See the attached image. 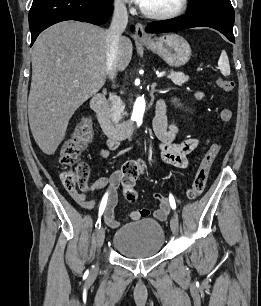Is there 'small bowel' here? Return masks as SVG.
<instances>
[{"mask_svg": "<svg viewBox=\"0 0 261 306\" xmlns=\"http://www.w3.org/2000/svg\"><path fill=\"white\" fill-rule=\"evenodd\" d=\"M196 96L200 99L204 98V94L197 92ZM154 133L159 141V156L165 163L171 164L177 168L185 169L189 165L188 157L193 154L200 144L199 138H188L180 143L175 142L178 132V126L175 121H170L166 115V108L162 101L157 105L156 115L153 121ZM119 139L109 138L108 149H102L100 155L103 158L109 156L111 150L118 148ZM119 183V172L114 173L110 177H100L94 180L90 185H86L81 192L70 189L71 198L82 208L92 210L95 201L88 195L92 192L106 188L107 202L103 210L104 222L111 228H117L120 221L115 217V207L117 205L116 188ZM155 199L159 202V207L154 210L153 216L158 221H164L169 215L170 207L168 199L161 193L155 194ZM149 215L146 209H140L130 212L129 218L139 220Z\"/></svg>", "mask_w": 261, "mask_h": 306, "instance_id": "c3829d8e", "label": "small bowel"}]
</instances>
